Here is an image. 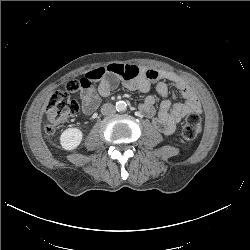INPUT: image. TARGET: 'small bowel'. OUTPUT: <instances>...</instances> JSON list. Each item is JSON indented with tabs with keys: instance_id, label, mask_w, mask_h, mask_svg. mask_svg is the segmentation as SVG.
Here are the masks:
<instances>
[{
	"instance_id": "obj_1",
	"label": "small bowel",
	"mask_w": 250,
	"mask_h": 250,
	"mask_svg": "<svg viewBox=\"0 0 250 250\" xmlns=\"http://www.w3.org/2000/svg\"><path fill=\"white\" fill-rule=\"evenodd\" d=\"M171 82L184 98L181 102L171 103L169 88L166 82ZM122 82L132 90L148 92L155 87L157 93L163 97L160 109L155 115V97L149 95L140 105V111L162 133H172L176 125L188 114H200L201 103L191 86L175 73L139 67L133 64H111L98 67L84 74L80 79V98L82 111L91 115L100 105L101 99L107 97L111 91Z\"/></svg>"
}]
</instances>
